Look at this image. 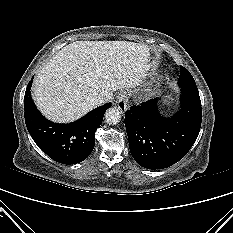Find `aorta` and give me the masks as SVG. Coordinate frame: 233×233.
Instances as JSON below:
<instances>
[{
  "label": "aorta",
  "instance_id": "762f6f07",
  "mask_svg": "<svg viewBox=\"0 0 233 233\" xmlns=\"http://www.w3.org/2000/svg\"><path fill=\"white\" fill-rule=\"evenodd\" d=\"M121 120V112L117 108H109L105 112V121L109 125H115Z\"/></svg>",
  "mask_w": 233,
  "mask_h": 233
}]
</instances>
